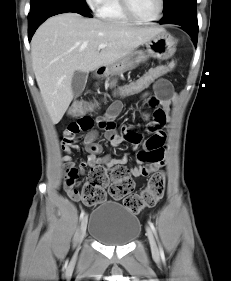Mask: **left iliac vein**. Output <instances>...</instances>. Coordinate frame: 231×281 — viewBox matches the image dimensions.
Segmentation results:
<instances>
[{
	"label": "left iliac vein",
	"mask_w": 231,
	"mask_h": 281,
	"mask_svg": "<svg viewBox=\"0 0 231 281\" xmlns=\"http://www.w3.org/2000/svg\"><path fill=\"white\" fill-rule=\"evenodd\" d=\"M146 234L150 243V247H151V251L153 254H158V248H157V244L155 241V238L153 236L152 231L150 230L149 227L146 228Z\"/></svg>",
	"instance_id": "obj_1"
}]
</instances>
